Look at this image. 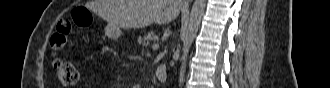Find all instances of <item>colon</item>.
<instances>
[{
    "label": "colon",
    "mask_w": 330,
    "mask_h": 88,
    "mask_svg": "<svg viewBox=\"0 0 330 88\" xmlns=\"http://www.w3.org/2000/svg\"><path fill=\"white\" fill-rule=\"evenodd\" d=\"M72 20L81 27L91 22V16L83 8H75L69 17H62L56 24L55 31L49 41L50 49L56 53L61 51L67 44L68 36L72 31ZM55 75L61 85L65 87L74 86L79 80V71L75 63L68 60L56 58L52 62Z\"/></svg>",
    "instance_id": "1"
}]
</instances>
